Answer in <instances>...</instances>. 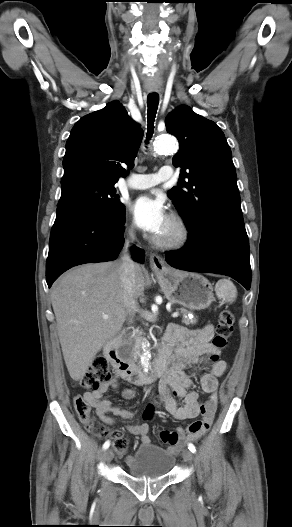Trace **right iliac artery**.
Instances as JSON below:
<instances>
[{
    "label": "right iliac artery",
    "mask_w": 292,
    "mask_h": 527,
    "mask_svg": "<svg viewBox=\"0 0 292 527\" xmlns=\"http://www.w3.org/2000/svg\"><path fill=\"white\" fill-rule=\"evenodd\" d=\"M109 446H110V442H109V441H106V442L103 444V450L108 449Z\"/></svg>",
    "instance_id": "right-iliac-artery-1"
}]
</instances>
